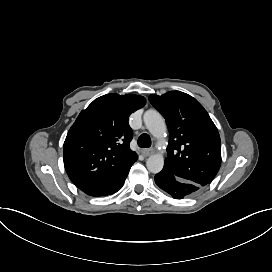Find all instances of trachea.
Here are the masks:
<instances>
[{
    "label": "trachea",
    "mask_w": 272,
    "mask_h": 272,
    "mask_svg": "<svg viewBox=\"0 0 272 272\" xmlns=\"http://www.w3.org/2000/svg\"><path fill=\"white\" fill-rule=\"evenodd\" d=\"M138 145L139 147H150L151 146V139L148 134H141L138 138Z\"/></svg>",
    "instance_id": "1"
}]
</instances>
